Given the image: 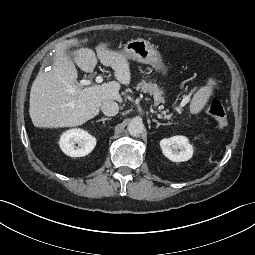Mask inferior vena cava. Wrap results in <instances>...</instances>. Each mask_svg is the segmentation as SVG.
<instances>
[{
    "label": "inferior vena cava",
    "instance_id": "1",
    "mask_svg": "<svg viewBox=\"0 0 255 255\" xmlns=\"http://www.w3.org/2000/svg\"><path fill=\"white\" fill-rule=\"evenodd\" d=\"M101 110L106 116H115L119 111V106L113 100H105L101 103Z\"/></svg>",
    "mask_w": 255,
    "mask_h": 255
}]
</instances>
